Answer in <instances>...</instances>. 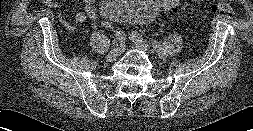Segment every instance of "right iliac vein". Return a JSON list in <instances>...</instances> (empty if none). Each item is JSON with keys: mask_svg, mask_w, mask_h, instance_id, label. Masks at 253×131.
<instances>
[{"mask_svg": "<svg viewBox=\"0 0 253 131\" xmlns=\"http://www.w3.org/2000/svg\"><path fill=\"white\" fill-rule=\"evenodd\" d=\"M122 47H123V43H121L119 46H116L115 48H113L109 54L106 56V59L110 62L115 61L119 55L122 52Z\"/></svg>", "mask_w": 253, "mask_h": 131, "instance_id": "obj_1", "label": "right iliac vein"}]
</instances>
